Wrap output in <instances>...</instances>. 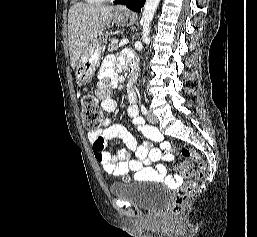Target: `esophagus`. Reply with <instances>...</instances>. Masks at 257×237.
<instances>
[{
	"label": "esophagus",
	"mask_w": 257,
	"mask_h": 237,
	"mask_svg": "<svg viewBox=\"0 0 257 237\" xmlns=\"http://www.w3.org/2000/svg\"><path fill=\"white\" fill-rule=\"evenodd\" d=\"M117 11H119V12H126L127 9H126V7L124 5H121V6L118 7Z\"/></svg>",
	"instance_id": "esophagus-1"
}]
</instances>
